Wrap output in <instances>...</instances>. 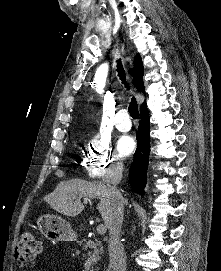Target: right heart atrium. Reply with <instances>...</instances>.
<instances>
[{
	"instance_id": "obj_1",
	"label": "right heart atrium",
	"mask_w": 221,
	"mask_h": 271,
	"mask_svg": "<svg viewBox=\"0 0 221 271\" xmlns=\"http://www.w3.org/2000/svg\"><path fill=\"white\" fill-rule=\"evenodd\" d=\"M108 146H89V151L87 156L83 157V162H85L84 170H91L88 175L99 177L100 173H105L106 167H111L112 163L109 159H112V154L108 151ZM97 173V174H96Z\"/></svg>"
}]
</instances>
